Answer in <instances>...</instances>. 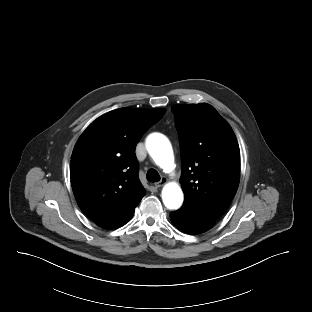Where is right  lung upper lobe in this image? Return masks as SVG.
<instances>
[{"label": "right lung upper lobe", "mask_w": 312, "mask_h": 312, "mask_svg": "<svg viewBox=\"0 0 312 312\" xmlns=\"http://www.w3.org/2000/svg\"><path fill=\"white\" fill-rule=\"evenodd\" d=\"M165 109L124 107L91 123L71 156V184L80 209L98 226L130 220L145 194L138 178L135 146Z\"/></svg>", "instance_id": "1"}]
</instances>
